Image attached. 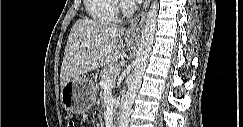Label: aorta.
Segmentation results:
<instances>
[{
  "instance_id": "aorta-1",
  "label": "aorta",
  "mask_w": 243,
  "mask_h": 127,
  "mask_svg": "<svg viewBox=\"0 0 243 127\" xmlns=\"http://www.w3.org/2000/svg\"><path fill=\"white\" fill-rule=\"evenodd\" d=\"M158 7L159 5L157 3V0H154L145 19V24L143 26L140 38V45L137 51V57L134 66V74L128 86V91L125 95L121 107L119 127H128L129 124L131 108L134 103L135 96L141 86L142 77L145 72L152 44L154 41Z\"/></svg>"
}]
</instances>
